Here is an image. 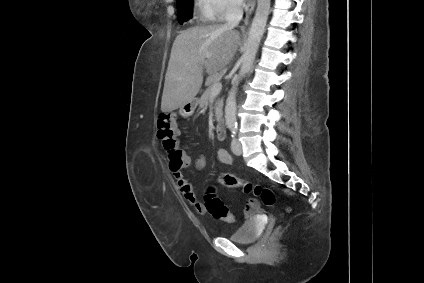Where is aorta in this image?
Instances as JSON below:
<instances>
[{"label": "aorta", "instance_id": "1", "mask_svg": "<svg viewBox=\"0 0 424 283\" xmlns=\"http://www.w3.org/2000/svg\"><path fill=\"white\" fill-rule=\"evenodd\" d=\"M270 9V0H257V8L244 44V52L241 57V67L235 85L229 91L225 106V122L228 127H235L236 122V92L238 83L249 73L265 31Z\"/></svg>", "mask_w": 424, "mask_h": 283}]
</instances>
